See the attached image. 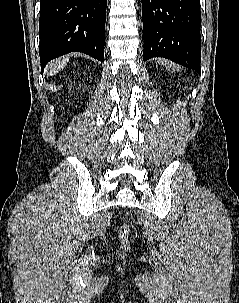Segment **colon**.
Returning a JSON list of instances; mask_svg holds the SVG:
<instances>
[{
  "mask_svg": "<svg viewBox=\"0 0 239 303\" xmlns=\"http://www.w3.org/2000/svg\"><path fill=\"white\" fill-rule=\"evenodd\" d=\"M130 226L128 223H123L118 230V238L122 242L123 251L127 249Z\"/></svg>",
  "mask_w": 239,
  "mask_h": 303,
  "instance_id": "5ec220e1",
  "label": "colon"
}]
</instances>
